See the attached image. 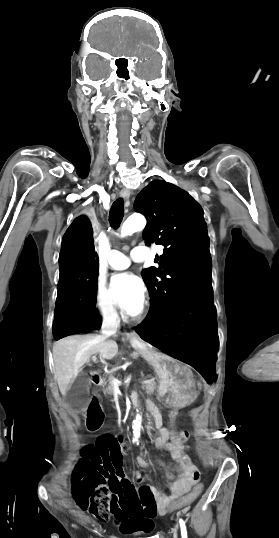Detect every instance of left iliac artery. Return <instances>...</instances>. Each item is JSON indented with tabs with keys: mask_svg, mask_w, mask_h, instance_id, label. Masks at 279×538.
Masks as SVG:
<instances>
[{
	"mask_svg": "<svg viewBox=\"0 0 279 538\" xmlns=\"http://www.w3.org/2000/svg\"><path fill=\"white\" fill-rule=\"evenodd\" d=\"M179 523H180L181 536H182V538H187V530H186V526H185V522H184V520H183L182 518H180Z\"/></svg>",
	"mask_w": 279,
	"mask_h": 538,
	"instance_id": "1",
	"label": "left iliac artery"
}]
</instances>
